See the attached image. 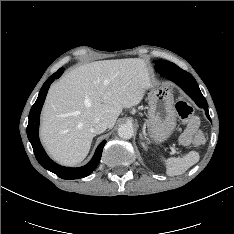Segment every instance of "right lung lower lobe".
<instances>
[{
	"instance_id": "1",
	"label": "right lung lower lobe",
	"mask_w": 234,
	"mask_h": 234,
	"mask_svg": "<svg viewBox=\"0 0 234 234\" xmlns=\"http://www.w3.org/2000/svg\"><path fill=\"white\" fill-rule=\"evenodd\" d=\"M64 69L60 68L56 73L51 75L46 82L43 84L38 98L34 105L32 106L30 113H29V122L27 126V136L28 139L33 147L34 154L36 156V159L40 163L42 167L45 169L55 173L58 177L63 179H79L88 176L91 174L94 169L99 164V161L101 159L102 150L106 143V141H102L99 146L97 147L95 154L91 161L79 168H67L62 167L56 163H54L45 153L38 137V128H39V116L40 112L43 106V103L45 101V97L47 95L48 89L51 85V83L61 76Z\"/></svg>"
}]
</instances>
